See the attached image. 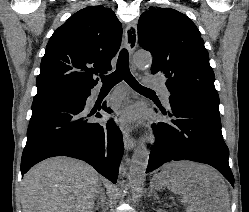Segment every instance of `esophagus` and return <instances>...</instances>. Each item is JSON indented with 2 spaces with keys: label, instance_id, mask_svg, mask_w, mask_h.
<instances>
[{
  "label": "esophagus",
  "instance_id": "obj_1",
  "mask_svg": "<svg viewBox=\"0 0 249 212\" xmlns=\"http://www.w3.org/2000/svg\"><path fill=\"white\" fill-rule=\"evenodd\" d=\"M138 34H137V24L135 21L129 23L125 29V40L124 45L127 51L132 54L137 47ZM126 103L131 101V93L127 91L125 96ZM124 146L126 150H133L136 146V140L131 136L129 131L122 127Z\"/></svg>",
  "mask_w": 249,
  "mask_h": 212
}]
</instances>
